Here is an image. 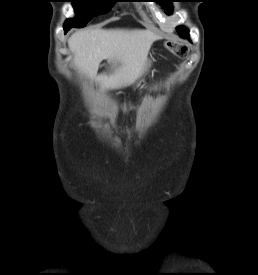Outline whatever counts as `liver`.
Listing matches in <instances>:
<instances>
[{
    "label": "liver",
    "instance_id": "obj_1",
    "mask_svg": "<svg viewBox=\"0 0 258 275\" xmlns=\"http://www.w3.org/2000/svg\"><path fill=\"white\" fill-rule=\"evenodd\" d=\"M159 36L151 30L90 29L73 33L68 47L75 66L105 88H121L137 79L147 62L148 52ZM115 69L97 76L102 60Z\"/></svg>",
    "mask_w": 258,
    "mask_h": 275
}]
</instances>
